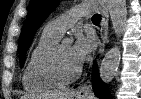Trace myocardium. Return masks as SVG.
Here are the masks:
<instances>
[{
    "mask_svg": "<svg viewBox=\"0 0 141 99\" xmlns=\"http://www.w3.org/2000/svg\"><path fill=\"white\" fill-rule=\"evenodd\" d=\"M62 44L56 43L50 50L45 54L42 64L41 72L49 80L64 85L73 82L81 74V67H79L74 73L70 75H64L58 66V53Z\"/></svg>",
    "mask_w": 141,
    "mask_h": 99,
    "instance_id": "obj_1",
    "label": "myocardium"
}]
</instances>
